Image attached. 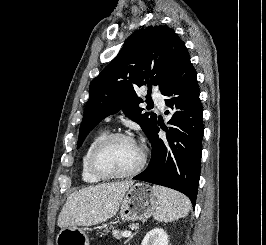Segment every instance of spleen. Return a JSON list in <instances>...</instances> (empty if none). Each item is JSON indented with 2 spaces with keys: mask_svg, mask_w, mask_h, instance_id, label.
<instances>
[{
  "mask_svg": "<svg viewBox=\"0 0 266 245\" xmlns=\"http://www.w3.org/2000/svg\"><path fill=\"white\" fill-rule=\"evenodd\" d=\"M152 191L158 199L156 211L153 215L156 221L172 223V221L187 217L191 209L188 197L178 193V191L166 189V187H152Z\"/></svg>",
  "mask_w": 266,
  "mask_h": 245,
  "instance_id": "obj_1",
  "label": "spleen"
}]
</instances>
